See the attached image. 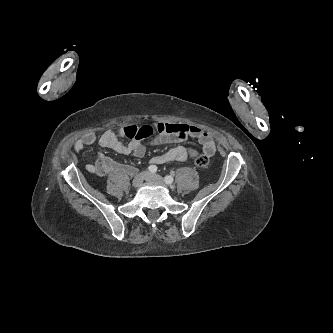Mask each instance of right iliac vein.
<instances>
[{
    "label": "right iliac vein",
    "instance_id": "right-iliac-vein-1",
    "mask_svg": "<svg viewBox=\"0 0 333 333\" xmlns=\"http://www.w3.org/2000/svg\"><path fill=\"white\" fill-rule=\"evenodd\" d=\"M146 175H147V172H141V173L137 174L132 181L133 187H135V188L140 187L142 185L143 181L146 179Z\"/></svg>",
    "mask_w": 333,
    "mask_h": 333
}]
</instances>
